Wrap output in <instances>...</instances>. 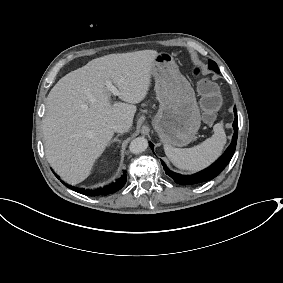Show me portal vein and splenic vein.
Returning <instances> with one entry per match:
<instances>
[{
    "mask_svg": "<svg viewBox=\"0 0 283 283\" xmlns=\"http://www.w3.org/2000/svg\"><path fill=\"white\" fill-rule=\"evenodd\" d=\"M106 87L114 96H120V91L111 82H107Z\"/></svg>",
    "mask_w": 283,
    "mask_h": 283,
    "instance_id": "portal-vein-and-splenic-vein-1",
    "label": "portal vein and splenic vein"
}]
</instances>
